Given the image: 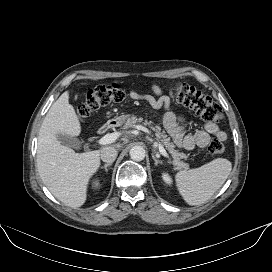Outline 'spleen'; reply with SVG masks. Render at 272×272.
<instances>
[{
  "label": "spleen",
  "mask_w": 272,
  "mask_h": 272,
  "mask_svg": "<svg viewBox=\"0 0 272 272\" xmlns=\"http://www.w3.org/2000/svg\"><path fill=\"white\" fill-rule=\"evenodd\" d=\"M231 170L229 160L217 158L201 167L179 171L175 175L176 186L187 204L201 205L224 184Z\"/></svg>",
  "instance_id": "1"
}]
</instances>
